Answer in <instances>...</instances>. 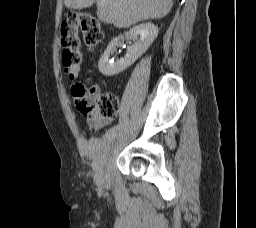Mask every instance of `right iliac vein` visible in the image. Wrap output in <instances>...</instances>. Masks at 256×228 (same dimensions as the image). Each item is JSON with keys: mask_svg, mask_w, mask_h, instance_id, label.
Listing matches in <instances>:
<instances>
[{"mask_svg": "<svg viewBox=\"0 0 256 228\" xmlns=\"http://www.w3.org/2000/svg\"><path fill=\"white\" fill-rule=\"evenodd\" d=\"M121 133H122L121 129H116L114 134L112 135L111 139L109 140V143L113 144L114 141L119 138ZM110 144H107V147H110ZM108 151H110V148H107V151H105V154H108ZM101 160L103 161V166H106V157L102 156Z\"/></svg>", "mask_w": 256, "mask_h": 228, "instance_id": "obj_1", "label": "right iliac vein"}]
</instances>
